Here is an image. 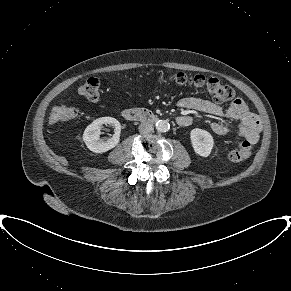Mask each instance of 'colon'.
Wrapping results in <instances>:
<instances>
[{
    "label": "colon",
    "mask_w": 291,
    "mask_h": 291,
    "mask_svg": "<svg viewBox=\"0 0 291 291\" xmlns=\"http://www.w3.org/2000/svg\"><path fill=\"white\" fill-rule=\"evenodd\" d=\"M157 82L159 84H176L178 86H192L199 89H205L212 100L218 104L231 101L235 92L232 87L222 83L215 77H206L204 75H187L185 73H172L161 75ZM100 82L97 78H88L77 88V94L89 101H96L99 98ZM77 116V111L68 106L59 105L53 108L50 114V120L53 123H65ZM252 154L251 144L242 138L236 140L235 146L229 152V159L233 162L243 161Z\"/></svg>",
    "instance_id": "5ec220e1"
}]
</instances>
